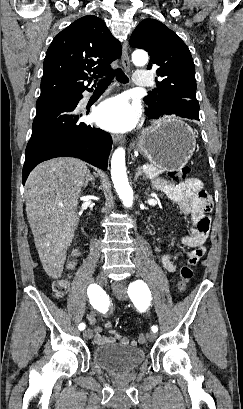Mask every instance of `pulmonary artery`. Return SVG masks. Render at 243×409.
I'll use <instances>...</instances> for the list:
<instances>
[{"label":"pulmonary artery","mask_w":243,"mask_h":409,"mask_svg":"<svg viewBox=\"0 0 243 409\" xmlns=\"http://www.w3.org/2000/svg\"><path fill=\"white\" fill-rule=\"evenodd\" d=\"M133 82L136 86L147 87L151 84V77L147 71L139 70L135 72Z\"/></svg>","instance_id":"pulmonary-artery-1"}]
</instances>
